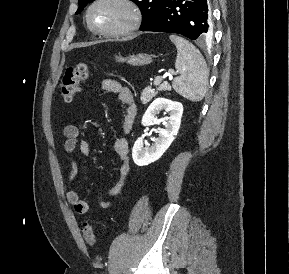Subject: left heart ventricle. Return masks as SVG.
<instances>
[{
    "label": "left heart ventricle",
    "instance_id": "obj_1",
    "mask_svg": "<svg viewBox=\"0 0 289 274\" xmlns=\"http://www.w3.org/2000/svg\"><path fill=\"white\" fill-rule=\"evenodd\" d=\"M92 24L101 30H113L124 25L128 20L127 9L114 2L97 5L90 15Z\"/></svg>",
    "mask_w": 289,
    "mask_h": 274
}]
</instances>
